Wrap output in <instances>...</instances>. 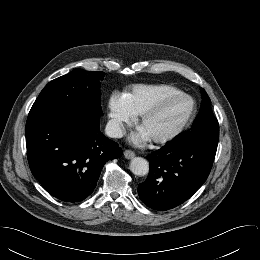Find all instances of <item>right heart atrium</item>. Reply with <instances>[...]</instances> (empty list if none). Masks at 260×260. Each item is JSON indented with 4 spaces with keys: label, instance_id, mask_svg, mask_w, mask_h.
Segmentation results:
<instances>
[{
    "label": "right heart atrium",
    "instance_id": "obj_1",
    "mask_svg": "<svg viewBox=\"0 0 260 260\" xmlns=\"http://www.w3.org/2000/svg\"><path fill=\"white\" fill-rule=\"evenodd\" d=\"M108 131L114 137H120L135 119V114L128 107L124 94L113 93L108 100Z\"/></svg>",
    "mask_w": 260,
    "mask_h": 260
}]
</instances>
